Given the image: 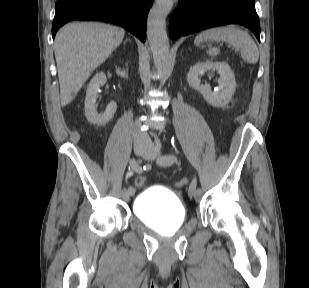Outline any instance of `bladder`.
<instances>
[{"mask_svg": "<svg viewBox=\"0 0 309 288\" xmlns=\"http://www.w3.org/2000/svg\"><path fill=\"white\" fill-rule=\"evenodd\" d=\"M133 209L144 225L165 233L181 228L187 217L177 194L155 186L145 188L136 196Z\"/></svg>", "mask_w": 309, "mask_h": 288, "instance_id": "obj_1", "label": "bladder"}]
</instances>
